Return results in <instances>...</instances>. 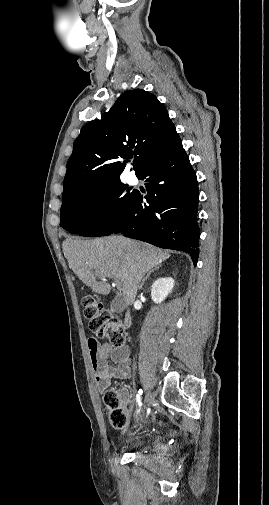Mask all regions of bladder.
Returning a JSON list of instances; mask_svg holds the SVG:
<instances>
[{
	"instance_id": "1",
	"label": "bladder",
	"mask_w": 269,
	"mask_h": 505,
	"mask_svg": "<svg viewBox=\"0 0 269 505\" xmlns=\"http://www.w3.org/2000/svg\"><path fill=\"white\" fill-rule=\"evenodd\" d=\"M144 444V441L143 440H136V441H133L130 446L133 447V448H136V447H139L141 445Z\"/></svg>"
}]
</instances>
